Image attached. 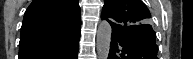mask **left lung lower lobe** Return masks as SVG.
<instances>
[{
	"label": "left lung lower lobe",
	"mask_w": 193,
	"mask_h": 59,
	"mask_svg": "<svg viewBox=\"0 0 193 59\" xmlns=\"http://www.w3.org/2000/svg\"><path fill=\"white\" fill-rule=\"evenodd\" d=\"M109 22L112 26V38L108 59H158L156 33L150 25L132 30Z\"/></svg>",
	"instance_id": "1"
}]
</instances>
